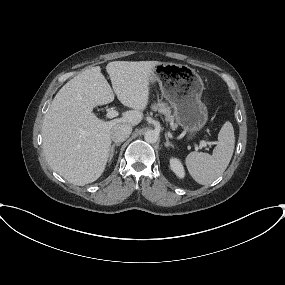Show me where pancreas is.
I'll return each mask as SVG.
<instances>
[{
  "label": "pancreas",
  "instance_id": "1",
  "mask_svg": "<svg viewBox=\"0 0 285 285\" xmlns=\"http://www.w3.org/2000/svg\"><path fill=\"white\" fill-rule=\"evenodd\" d=\"M151 108L153 111L164 114L165 120L170 122L172 129L177 127V124L174 123V117L171 115L170 107L166 103L158 101V103H154Z\"/></svg>",
  "mask_w": 285,
  "mask_h": 285
}]
</instances>
